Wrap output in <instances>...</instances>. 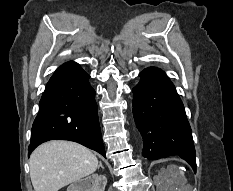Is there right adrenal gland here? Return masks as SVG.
I'll list each match as a JSON object with an SVG mask.
<instances>
[{
  "instance_id": "1",
  "label": "right adrenal gland",
  "mask_w": 233,
  "mask_h": 191,
  "mask_svg": "<svg viewBox=\"0 0 233 191\" xmlns=\"http://www.w3.org/2000/svg\"><path fill=\"white\" fill-rule=\"evenodd\" d=\"M100 167H101L102 169H104V167H103V165H102V162H99L98 169H99Z\"/></svg>"
}]
</instances>
